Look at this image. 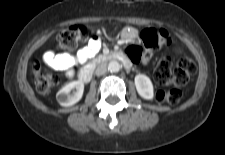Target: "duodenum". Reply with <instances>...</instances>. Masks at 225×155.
Wrapping results in <instances>:
<instances>
[{"label":"duodenum","mask_w":225,"mask_h":155,"mask_svg":"<svg viewBox=\"0 0 225 155\" xmlns=\"http://www.w3.org/2000/svg\"><path fill=\"white\" fill-rule=\"evenodd\" d=\"M106 61H118L127 68L131 66L130 60L123 53L111 52L109 54L98 57L94 62L82 69L79 73V80L84 83L89 82L93 76L95 67Z\"/></svg>","instance_id":"obj_1"}]
</instances>
